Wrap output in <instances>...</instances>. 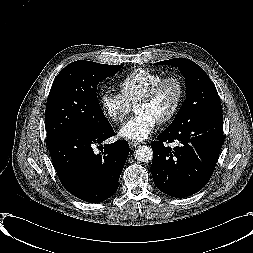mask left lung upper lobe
I'll return each mask as SVG.
<instances>
[{
	"label": "left lung upper lobe",
	"mask_w": 253,
	"mask_h": 253,
	"mask_svg": "<svg viewBox=\"0 0 253 253\" xmlns=\"http://www.w3.org/2000/svg\"><path fill=\"white\" fill-rule=\"evenodd\" d=\"M162 64L178 67L185 76L186 82V99L169 129L191 120L222 114L221 101L215 85L199 65L186 58H174L156 63V65Z\"/></svg>",
	"instance_id": "left-lung-upper-lobe-1"
}]
</instances>
